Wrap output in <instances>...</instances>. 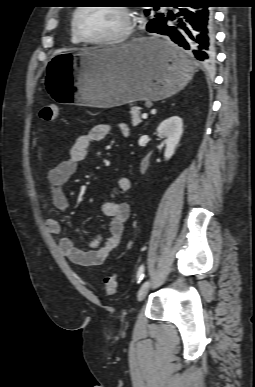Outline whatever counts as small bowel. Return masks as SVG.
<instances>
[{
	"label": "small bowel",
	"instance_id": "obj_1",
	"mask_svg": "<svg viewBox=\"0 0 255 387\" xmlns=\"http://www.w3.org/2000/svg\"><path fill=\"white\" fill-rule=\"evenodd\" d=\"M119 129L123 135L127 136L129 134L126 124L120 123ZM111 131V125L106 123L92 126L88 131L75 139L69 150L68 157L47 172L46 180L50 185L52 204L60 213H66L69 207L63 186L76 173L78 166L86 159L91 143L105 139ZM130 188V178L120 177L117 180L116 189L118 192L125 193ZM101 211L110 218L109 234L105 239L97 236L87 247H81L77 246L69 237L64 236L60 238L59 248L61 253L73 263L81 266L101 265L110 253L121 244L125 223L131 214L130 205L125 201L108 198L103 202ZM46 228L52 234H60L62 232L61 222L56 217H49L46 220Z\"/></svg>",
	"mask_w": 255,
	"mask_h": 387
}]
</instances>
